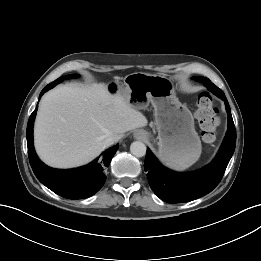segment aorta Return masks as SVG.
<instances>
[{
  "mask_svg": "<svg viewBox=\"0 0 261 261\" xmlns=\"http://www.w3.org/2000/svg\"><path fill=\"white\" fill-rule=\"evenodd\" d=\"M130 152L136 157H143L146 154V146L141 141H135L130 146Z\"/></svg>",
  "mask_w": 261,
  "mask_h": 261,
  "instance_id": "aorta-1",
  "label": "aorta"
}]
</instances>
